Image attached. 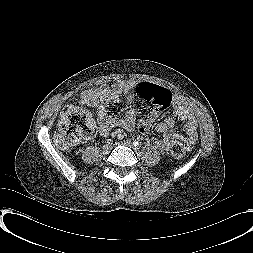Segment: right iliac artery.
Segmentation results:
<instances>
[{"label":"right iliac artery","mask_w":253,"mask_h":253,"mask_svg":"<svg viewBox=\"0 0 253 253\" xmlns=\"http://www.w3.org/2000/svg\"><path fill=\"white\" fill-rule=\"evenodd\" d=\"M107 143H108V144H112L113 141H112L111 139H108V140H107Z\"/></svg>","instance_id":"obj_1"}]
</instances>
